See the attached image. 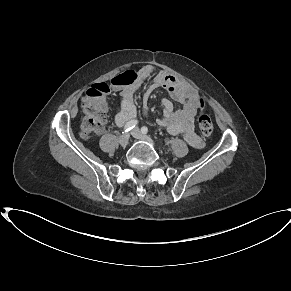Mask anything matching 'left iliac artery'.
<instances>
[{"label": "left iliac artery", "instance_id": "left-iliac-artery-1", "mask_svg": "<svg viewBox=\"0 0 291 291\" xmlns=\"http://www.w3.org/2000/svg\"><path fill=\"white\" fill-rule=\"evenodd\" d=\"M141 132L143 133V134H147L148 133V128L147 127H142L141 128Z\"/></svg>", "mask_w": 291, "mask_h": 291}]
</instances>
